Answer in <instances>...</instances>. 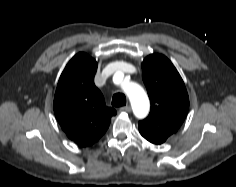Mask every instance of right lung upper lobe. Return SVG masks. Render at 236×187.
Wrapping results in <instances>:
<instances>
[{
	"label": "right lung upper lobe",
	"mask_w": 236,
	"mask_h": 187,
	"mask_svg": "<svg viewBox=\"0 0 236 187\" xmlns=\"http://www.w3.org/2000/svg\"><path fill=\"white\" fill-rule=\"evenodd\" d=\"M97 62L78 53L62 72L55 97L54 113L69 139L81 147L99 140L116 111L105 105L104 97L94 85Z\"/></svg>",
	"instance_id": "cb5924a9"
}]
</instances>
